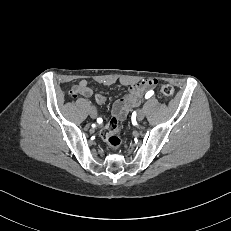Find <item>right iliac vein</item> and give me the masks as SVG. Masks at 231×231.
I'll return each instance as SVG.
<instances>
[{
	"mask_svg": "<svg viewBox=\"0 0 231 231\" xmlns=\"http://www.w3.org/2000/svg\"><path fill=\"white\" fill-rule=\"evenodd\" d=\"M89 114H90V117L92 119H95L97 117V111H96V109L94 107H91L90 111H89Z\"/></svg>",
	"mask_w": 231,
	"mask_h": 231,
	"instance_id": "obj_1",
	"label": "right iliac vein"
}]
</instances>
